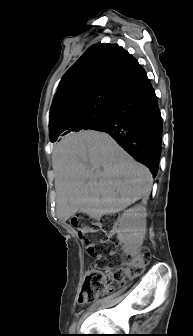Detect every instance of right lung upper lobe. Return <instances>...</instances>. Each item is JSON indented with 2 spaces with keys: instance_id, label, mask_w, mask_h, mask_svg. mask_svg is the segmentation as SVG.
Masks as SVG:
<instances>
[{
  "instance_id": "cb5924a9",
  "label": "right lung upper lobe",
  "mask_w": 193,
  "mask_h": 336,
  "mask_svg": "<svg viewBox=\"0 0 193 336\" xmlns=\"http://www.w3.org/2000/svg\"><path fill=\"white\" fill-rule=\"evenodd\" d=\"M140 67L116 44L90 47L58 85L49 117L51 141L76 131L74 125L79 116L110 108Z\"/></svg>"
}]
</instances>
